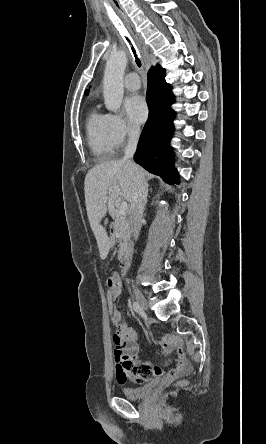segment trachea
Segmentation results:
<instances>
[{"mask_svg": "<svg viewBox=\"0 0 266 444\" xmlns=\"http://www.w3.org/2000/svg\"><path fill=\"white\" fill-rule=\"evenodd\" d=\"M126 40L129 42V44L131 46V50H132V52L134 54L135 62L137 64V66L140 67L141 66V61H140V59H139V57H138V55L136 53V50H135L134 46L132 45V43H131V41H130V39L128 37H126Z\"/></svg>", "mask_w": 266, "mask_h": 444, "instance_id": "1", "label": "trachea"}]
</instances>
